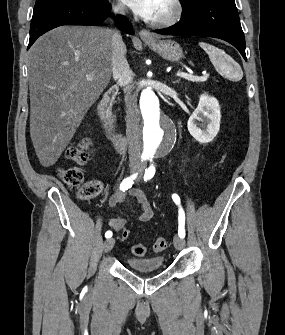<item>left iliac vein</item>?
<instances>
[{
  "label": "left iliac vein",
  "mask_w": 285,
  "mask_h": 335,
  "mask_svg": "<svg viewBox=\"0 0 285 335\" xmlns=\"http://www.w3.org/2000/svg\"><path fill=\"white\" fill-rule=\"evenodd\" d=\"M173 242L177 250H181L185 247V240L178 235L174 237Z\"/></svg>",
  "instance_id": "left-iliac-vein-1"
}]
</instances>
